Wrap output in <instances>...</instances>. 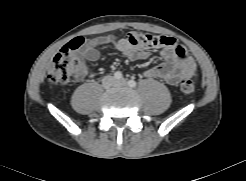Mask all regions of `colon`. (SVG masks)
Wrapping results in <instances>:
<instances>
[{
	"instance_id": "obj_1",
	"label": "colon",
	"mask_w": 246,
	"mask_h": 181,
	"mask_svg": "<svg viewBox=\"0 0 246 181\" xmlns=\"http://www.w3.org/2000/svg\"><path fill=\"white\" fill-rule=\"evenodd\" d=\"M158 37L140 34L134 42L149 43L156 41ZM83 44L81 37H76L66 46H64L59 53H57L47 71V78L49 82L54 85L66 84L71 79L80 76L82 62L80 58L76 57L73 52ZM180 89L184 94L190 95L195 91V83L192 79H184L180 84Z\"/></svg>"
}]
</instances>
